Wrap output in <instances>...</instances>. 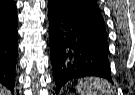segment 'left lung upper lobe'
Listing matches in <instances>:
<instances>
[{"label":"left lung upper lobe","instance_id":"obj_1","mask_svg":"<svg viewBox=\"0 0 135 95\" xmlns=\"http://www.w3.org/2000/svg\"><path fill=\"white\" fill-rule=\"evenodd\" d=\"M48 6L70 17L104 27L96 0H49Z\"/></svg>","mask_w":135,"mask_h":95}]
</instances>
